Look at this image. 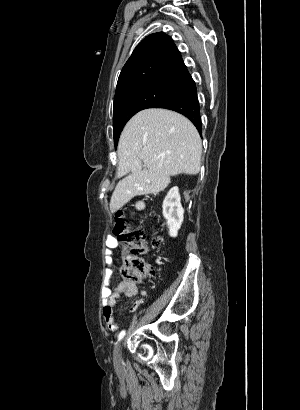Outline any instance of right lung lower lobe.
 <instances>
[{
	"label": "right lung lower lobe",
	"instance_id": "1",
	"mask_svg": "<svg viewBox=\"0 0 300 410\" xmlns=\"http://www.w3.org/2000/svg\"><path fill=\"white\" fill-rule=\"evenodd\" d=\"M160 108L174 110L185 115L201 133L200 105L197 98L196 85L193 80L188 83L187 87L176 98Z\"/></svg>",
	"mask_w": 300,
	"mask_h": 410
}]
</instances>
